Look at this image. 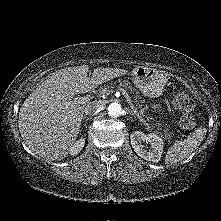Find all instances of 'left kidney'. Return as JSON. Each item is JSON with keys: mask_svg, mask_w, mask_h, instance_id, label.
Returning a JSON list of instances; mask_svg holds the SVG:
<instances>
[{"mask_svg": "<svg viewBox=\"0 0 221 221\" xmlns=\"http://www.w3.org/2000/svg\"><path fill=\"white\" fill-rule=\"evenodd\" d=\"M130 139L131 145L138 156L147 161H160L163 152V140L160 136L154 133L145 135L143 132L135 131L130 135ZM145 141L150 143L151 150L143 148L142 142Z\"/></svg>", "mask_w": 221, "mask_h": 221, "instance_id": "left-kidney-1", "label": "left kidney"}]
</instances>
